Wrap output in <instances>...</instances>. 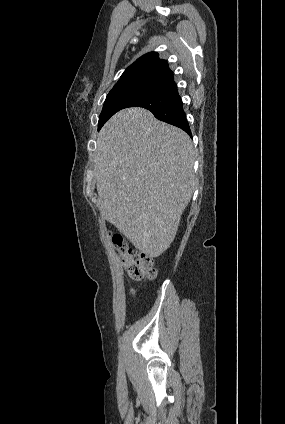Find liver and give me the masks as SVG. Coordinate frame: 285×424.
I'll use <instances>...</instances> for the list:
<instances>
[{
  "label": "liver",
  "mask_w": 285,
  "mask_h": 424,
  "mask_svg": "<svg viewBox=\"0 0 285 424\" xmlns=\"http://www.w3.org/2000/svg\"><path fill=\"white\" fill-rule=\"evenodd\" d=\"M193 165V144L184 131L143 108L119 111L97 136L101 214L139 251L160 256L191 200Z\"/></svg>",
  "instance_id": "obj_1"
}]
</instances>
